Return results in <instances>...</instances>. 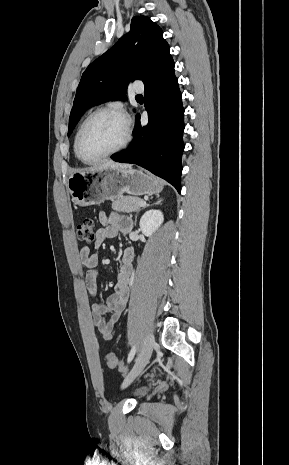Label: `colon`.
Instances as JSON below:
<instances>
[{
    "instance_id": "colon-1",
    "label": "colon",
    "mask_w": 289,
    "mask_h": 465,
    "mask_svg": "<svg viewBox=\"0 0 289 465\" xmlns=\"http://www.w3.org/2000/svg\"><path fill=\"white\" fill-rule=\"evenodd\" d=\"M77 237L81 242L92 243L95 240V226L91 218H84L77 226ZM107 365L111 369H121L123 362L114 354L107 355Z\"/></svg>"
}]
</instances>
